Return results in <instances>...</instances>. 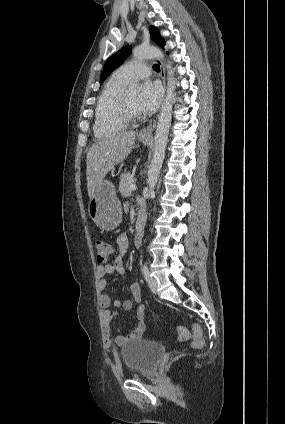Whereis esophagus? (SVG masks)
I'll use <instances>...</instances> for the list:
<instances>
[{
	"label": "esophagus",
	"instance_id": "1",
	"mask_svg": "<svg viewBox=\"0 0 285 424\" xmlns=\"http://www.w3.org/2000/svg\"><path fill=\"white\" fill-rule=\"evenodd\" d=\"M158 64L160 66V76L163 82V86L165 88V70H164V66L163 63L158 59ZM156 122H157V117H155L147 127L143 128L140 133L139 136L140 137H151L152 133L155 129L156 126Z\"/></svg>",
	"mask_w": 285,
	"mask_h": 424
}]
</instances>
